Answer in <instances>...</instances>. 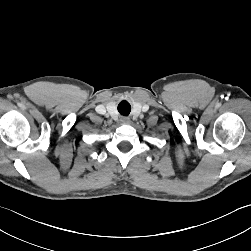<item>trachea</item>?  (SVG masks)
I'll use <instances>...</instances> for the list:
<instances>
[{
    "label": "trachea",
    "instance_id": "trachea-1",
    "mask_svg": "<svg viewBox=\"0 0 251 251\" xmlns=\"http://www.w3.org/2000/svg\"><path fill=\"white\" fill-rule=\"evenodd\" d=\"M118 111L121 115L128 116L131 111V106L127 101H122L118 105Z\"/></svg>",
    "mask_w": 251,
    "mask_h": 251
}]
</instances>
